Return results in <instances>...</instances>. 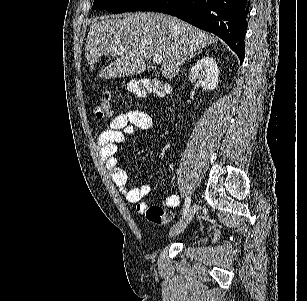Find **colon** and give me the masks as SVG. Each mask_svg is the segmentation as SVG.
Here are the masks:
<instances>
[{
    "label": "colon",
    "instance_id": "obj_1",
    "mask_svg": "<svg viewBox=\"0 0 307 301\" xmlns=\"http://www.w3.org/2000/svg\"><path fill=\"white\" fill-rule=\"evenodd\" d=\"M128 90L136 97L143 98L149 93H156L157 95L164 96L169 93L166 85L158 80H139L129 83ZM113 108L110 96L104 93L100 102L94 109V114L97 119L103 120L112 115ZM146 218L148 221L164 225L168 224L172 219V214L159 206H150L146 209Z\"/></svg>",
    "mask_w": 307,
    "mask_h": 301
}]
</instances>
